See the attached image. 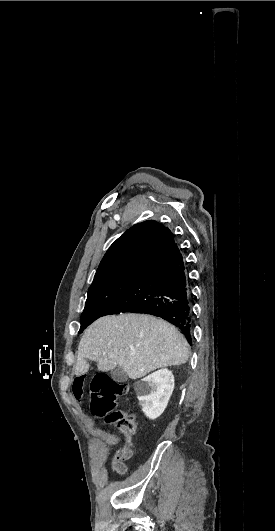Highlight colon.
Wrapping results in <instances>:
<instances>
[{
  "mask_svg": "<svg viewBox=\"0 0 275 531\" xmlns=\"http://www.w3.org/2000/svg\"><path fill=\"white\" fill-rule=\"evenodd\" d=\"M129 391L128 383L111 378L105 372H98L89 385L91 414L94 417L104 418L107 425H115L125 438L113 463V467L121 474L126 472L123 460L128 456L127 446L135 430L136 415L134 412L117 408V403ZM68 393L72 394L74 401L83 400V395L88 393V375L79 374L77 379L68 380Z\"/></svg>",
  "mask_w": 275,
  "mask_h": 531,
  "instance_id": "colon-1",
  "label": "colon"
}]
</instances>
